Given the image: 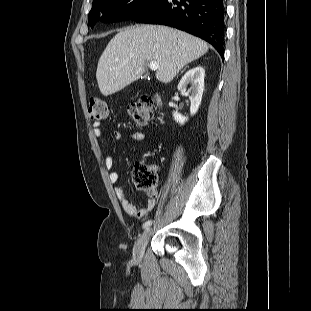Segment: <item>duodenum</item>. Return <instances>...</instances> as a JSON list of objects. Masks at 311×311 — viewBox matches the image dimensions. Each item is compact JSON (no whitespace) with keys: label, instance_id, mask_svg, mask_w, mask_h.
I'll list each match as a JSON object with an SVG mask.
<instances>
[{"label":"duodenum","instance_id":"1","mask_svg":"<svg viewBox=\"0 0 311 311\" xmlns=\"http://www.w3.org/2000/svg\"><path fill=\"white\" fill-rule=\"evenodd\" d=\"M154 99H155V101L158 103V104H160V101H161V99H160V96H159V94H154Z\"/></svg>","mask_w":311,"mask_h":311}]
</instances>
